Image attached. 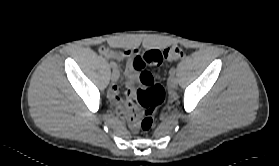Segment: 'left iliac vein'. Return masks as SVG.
Wrapping results in <instances>:
<instances>
[{"label":"left iliac vein","mask_w":279,"mask_h":166,"mask_svg":"<svg viewBox=\"0 0 279 166\" xmlns=\"http://www.w3.org/2000/svg\"><path fill=\"white\" fill-rule=\"evenodd\" d=\"M177 86V79L174 75H170V77L168 78V87L170 89H174Z\"/></svg>","instance_id":"left-iliac-vein-1"}]
</instances>
